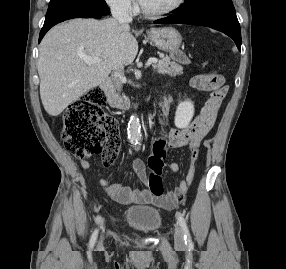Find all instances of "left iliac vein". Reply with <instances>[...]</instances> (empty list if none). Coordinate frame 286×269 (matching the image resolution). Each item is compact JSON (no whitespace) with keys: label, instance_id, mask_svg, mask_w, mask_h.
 Wrapping results in <instances>:
<instances>
[{"label":"left iliac vein","instance_id":"obj_1","mask_svg":"<svg viewBox=\"0 0 286 269\" xmlns=\"http://www.w3.org/2000/svg\"><path fill=\"white\" fill-rule=\"evenodd\" d=\"M175 243L178 246L184 245V232L180 226H176L175 233H174Z\"/></svg>","mask_w":286,"mask_h":269}]
</instances>
